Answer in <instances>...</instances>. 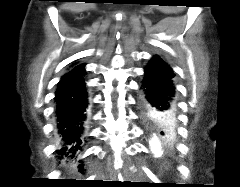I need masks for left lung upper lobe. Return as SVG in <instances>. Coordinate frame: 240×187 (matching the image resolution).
I'll return each mask as SVG.
<instances>
[{
    "mask_svg": "<svg viewBox=\"0 0 240 187\" xmlns=\"http://www.w3.org/2000/svg\"><path fill=\"white\" fill-rule=\"evenodd\" d=\"M153 125L159 130L160 134L164 136L165 139L169 140L171 137L174 136L175 126L168 127L160 124L159 122H154Z\"/></svg>",
    "mask_w": 240,
    "mask_h": 187,
    "instance_id": "obj_1",
    "label": "left lung upper lobe"
}]
</instances>
